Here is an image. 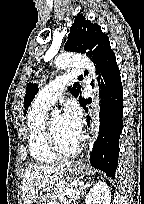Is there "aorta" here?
<instances>
[{
	"label": "aorta",
	"mask_w": 144,
	"mask_h": 204,
	"mask_svg": "<svg viewBox=\"0 0 144 204\" xmlns=\"http://www.w3.org/2000/svg\"><path fill=\"white\" fill-rule=\"evenodd\" d=\"M55 66L61 69L68 68L71 66H81L87 69L94 78H96V70L93 62L82 55L73 54V53H65L59 55L55 59ZM94 94L92 97V114H91V137L89 138V151L91 152L93 149V145L97 139V133L99 128V112H100V97H99V88L97 85V80L94 82ZM56 112V111H55Z\"/></svg>",
	"instance_id": "obj_1"
}]
</instances>
